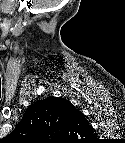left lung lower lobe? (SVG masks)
<instances>
[{"label": "left lung lower lobe", "mask_w": 125, "mask_h": 143, "mask_svg": "<svg viewBox=\"0 0 125 143\" xmlns=\"http://www.w3.org/2000/svg\"><path fill=\"white\" fill-rule=\"evenodd\" d=\"M85 118L83 113L77 110L71 102H68L65 107V120L67 125H71L75 120L80 121Z\"/></svg>", "instance_id": "1"}]
</instances>
